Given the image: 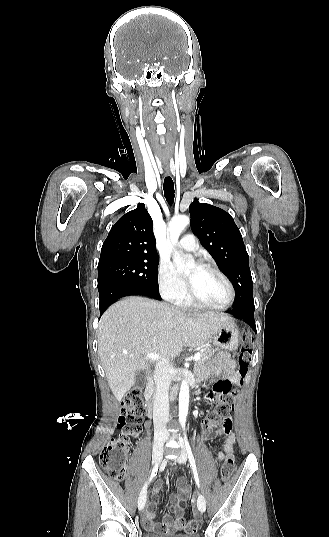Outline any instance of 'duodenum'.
Segmentation results:
<instances>
[{
  "instance_id": "1",
  "label": "duodenum",
  "mask_w": 329,
  "mask_h": 537,
  "mask_svg": "<svg viewBox=\"0 0 329 537\" xmlns=\"http://www.w3.org/2000/svg\"><path fill=\"white\" fill-rule=\"evenodd\" d=\"M152 383L151 378L147 377L146 379V410L147 416L152 417L153 415V400H152Z\"/></svg>"
}]
</instances>
